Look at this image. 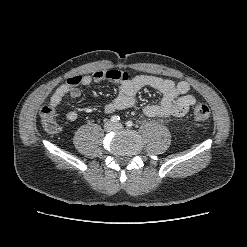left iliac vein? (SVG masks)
<instances>
[{
  "label": "left iliac vein",
  "mask_w": 247,
  "mask_h": 247,
  "mask_svg": "<svg viewBox=\"0 0 247 247\" xmlns=\"http://www.w3.org/2000/svg\"><path fill=\"white\" fill-rule=\"evenodd\" d=\"M123 127V125L121 124V123H116L115 125H114V128L115 129H121Z\"/></svg>",
  "instance_id": "4c4485c4"
}]
</instances>
